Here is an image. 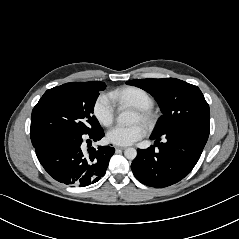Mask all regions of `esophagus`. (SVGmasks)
<instances>
[{
    "instance_id": "34e87169",
    "label": "esophagus",
    "mask_w": 239,
    "mask_h": 239,
    "mask_svg": "<svg viewBox=\"0 0 239 239\" xmlns=\"http://www.w3.org/2000/svg\"><path fill=\"white\" fill-rule=\"evenodd\" d=\"M115 149L116 150H125L126 148L125 147H121V146H115Z\"/></svg>"
}]
</instances>
